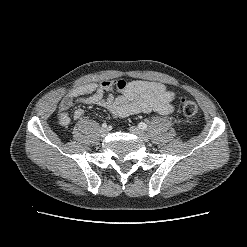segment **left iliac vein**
<instances>
[{
  "label": "left iliac vein",
  "mask_w": 247,
  "mask_h": 247,
  "mask_svg": "<svg viewBox=\"0 0 247 247\" xmlns=\"http://www.w3.org/2000/svg\"><path fill=\"white\" fill-rule=\"evenodd\" d=\"M129 130H130L131 133L137 135L142 140H144V141H148L149 140V136L147 135V133L142 131V130H140L139 128L132 126V127L129 128Z\"/></svg>",
  "instance_id": "1"
}]
</instances>
